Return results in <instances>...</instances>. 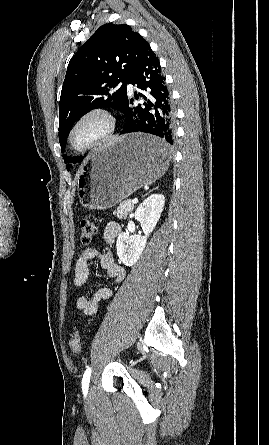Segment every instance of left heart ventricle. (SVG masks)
<instances>
[{
	"instance_id": "1",
	"label": "left heart ventricle",
	"mask_w": 269,
	"mask_h": 445,
	"mask_svg": "<svg viewBox=\"0 0 269 445\" xmlns=\"http://www.w3.org/2000/svg\"><path fill=\"white\" fill-rule=\"evenodd\" d=\"M100 129V124L97 121H91L85 124L77 136V141L83 143L93 137Z\"/></svg>"
}]
</instances>
